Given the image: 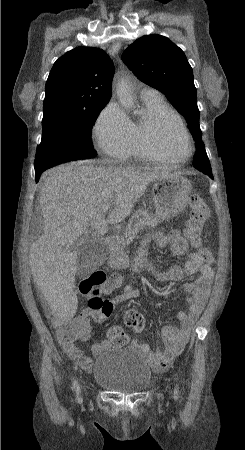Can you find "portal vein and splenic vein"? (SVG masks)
I'll return each mask as SVG.
<instances>
[{"label": "portal vein and splenic vein", "instance_id": "obj_1", "mask_svg": "<svg viewBox=\"0 0 245 450\" xmlns=\"http://www.w3.org/2000/svg\"><path fill=\"white\" fill-rule=\"evenodd\" d=\"M109 211H110V206H108V205L103 206V208H102V212L103 213H106V212H109Z\"/></svg>", "mask_w": 245, "mask_h": 450}]
</instances>
